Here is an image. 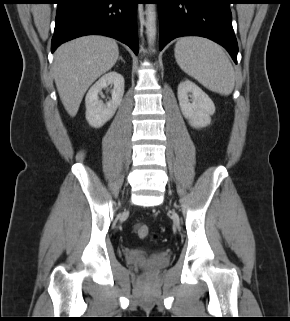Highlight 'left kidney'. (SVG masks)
I'll return each mask as SVG.
<instances>
[{"instance_id":"5707ae66","label":"left kidney","mask_w":290,"mask_h":321,"mask_svg":"<svg viewBox=\"0 0 290 321\" xmlns=\"http://www.w3.org/2000/svg\"><path fill=\"white\" fill-rule=\"evenodd\" d=\"M178 100L182 114L192 127L202 128L210 124L211 115L215 112L214 103L195 83L189 80L181 82Z\"/></svg>"}]
</instances>
